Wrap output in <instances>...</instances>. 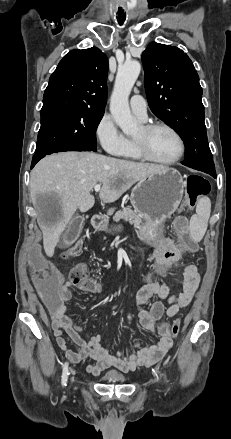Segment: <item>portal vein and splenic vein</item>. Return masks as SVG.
Here are the masks:
<instances>
[{
  "instance_id": "portal-vein-and-splenic-vein-1",
  "label": "portal vein and splenic vein",
  "mask_w": 231,
  "mask_h": 439,
  "mask_svg": "<svg viewBox=\"0 0 231 439\" xmlns=\"http://www.w3.org/2000/svg\"><path fill=\"white\" fill-rule=\"evenodd\" d=\"M100 188H101V185H100V184H96V185L94 186V190H95L96 192H99V191H100Z\"/></svg>"
}]
</instances>
